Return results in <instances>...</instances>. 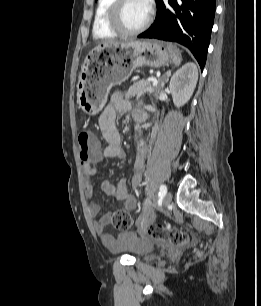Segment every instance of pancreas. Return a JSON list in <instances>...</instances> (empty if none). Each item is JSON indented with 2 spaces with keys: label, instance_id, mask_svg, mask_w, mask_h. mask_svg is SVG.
<instances>
[{
  "label": "pancreas",
  "instance_id": "obj_1",
  "mask_svg": "<svg viewBox=\"0 0 261 306\" xmlns=\"http://www.w3.org/2000/svg\"><path fill=\"white\" fill-rule=\"evenodd\" d=\"M150 88V90H148ZM159 93V87H152L151 86V82L150 81H138L136 83H134L129 89L128 91L125 93L124 97L126 99H129L131 97H135V96H141L144 93Z\"/></svg>",
  "mask_w": 261,
  "mask_h": 306
}]
</instances>
